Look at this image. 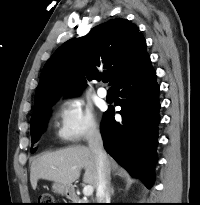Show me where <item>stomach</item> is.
Returning <instances> with one entry per match:
<instances>
[{"instance_id": "stomach-1", "label": "stomach", "mask_w": 200, "mask_h": 205, "mask_svg": "<svg viewBox=\"0 0 200 205\" xmlns=\"http://www.w3.org/2000/svg\"><path fill=\"white\" fill-rule=\"evenodd\" d=\"M52 190L55 193L60 194L62 196H64V195L68 196V195L71 194L70 186L64 185V184H61V183H54L53 186H52Z\"/></svg>"}]
</instances>
